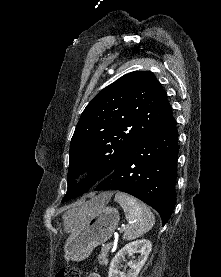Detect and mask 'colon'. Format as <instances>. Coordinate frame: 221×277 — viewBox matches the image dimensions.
I'll list each match as a JSON object with an SVG mask.
<instances>
[{
	"label": "colon",
	"mask_w": 221,
	"mask_h": 277,
	"mask_svg": "<svg viewBox=\"0 0 221 277\" xmlns=\"http://www.w3.org/2000/svg\"><path fill=\"white\" fill-rule=\"evenodd\" d=\"M56 277H80V271L78 267L69 265L62 267L56 274Z\"/></svg>",
	"instance_id": "obj_1"
}]
</instances>
